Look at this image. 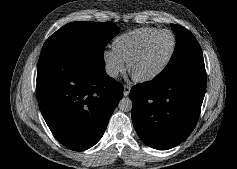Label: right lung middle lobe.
Masks as SVG:
<instances>
[{
    "label": "right lung middle lobe",
    "mask_w": 237,
    "mask_h": 169,
    "mask_svg": "<svg viewBox=\"0 0 237 169\" xmlns=\"http://www.w3.org/2000/svg\"><path fill=\"white\" fill-rule=\"evenodd\" d=\"M119 33L110 23L72 22L51 35L43 45V54L103 57L106 44Z\"/></svg>",
    "instance_id": "obj_1"
}]
</instances>
